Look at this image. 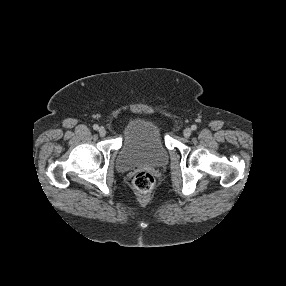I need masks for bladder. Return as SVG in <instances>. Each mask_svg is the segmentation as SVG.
<instances>
[{
  "label": "bladder",
  "mask_w": 286,
  "mask_h": 286,
  "mask_svg": "<svg viewBox=\"0 0 286 286\" xmlns=\"http://www.w3.org/2000/svg\"><path fill=\"white\" fill-rule=\"evenodd\" d=\"M167 159L168 152L157 125L138 120L130 125L124 136L117 165L126 171L139 166L158 167Z\"/></svg>",
  "instance_id": "1"
}]
</instances>
